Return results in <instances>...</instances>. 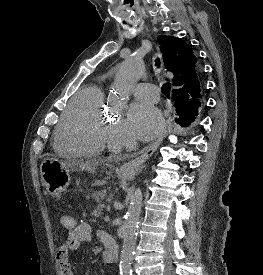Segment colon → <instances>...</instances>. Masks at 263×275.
<instances>
[{"label":"colon","mask_w":263,"mask_h":275,"mask_svg":"<svg viewBox=\"0 0 263 275\" xmlns=\"http://www.w3.org/2000/svg\"><path fill=\"white\" fill-rule=\"evenodd\" d=\"M60 223L64 229L70 230L75 226L76 220L71 215H63L61 216Z\"/></svg>","instance_id":"1"}]
</instances>
